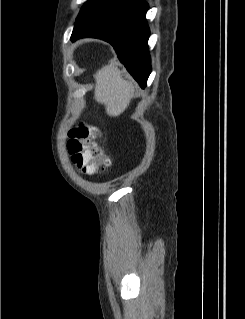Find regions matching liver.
Listing matches in <instances>:
<instances>
[{
  "mask_svg": "<svg viewBox=\"0 0 245 319\" xmlns=\"http://www.w3.org/2000/svg\"><path fill=\"white\" fill-rule=\"evenodd\" d=\"M94 78L96 81L95 100L105 106L109 116H119L128 107L134 95L133 84L122 78L116 64L103 66L96 72Z\"/></svg>",
  "mask_w": 245,
  "mask_h": 319,
  "instance_id": "1",
  "label": "liver"
}]
</instances>
